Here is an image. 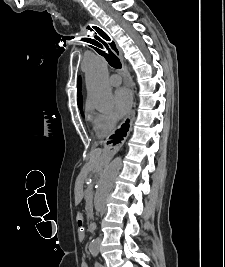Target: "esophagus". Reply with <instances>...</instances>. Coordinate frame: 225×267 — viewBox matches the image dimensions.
<instances>
[{
  "label": "esophagus",
  "mask_w": 225,
  "mask_h": 267,
  "mask_svg": "<svg viewBox=\"0 0 225 267\" xmlns=\"http://www.w3.org/2000/svg\"><path fill=\"white\" fill-rule=\"evenodd\" d=\"M98 28L102 29L109 36V38H110L109 45H110L111 49L118 55V57H119V59L121 61V64H122V69H123L124 79H125V85L130 88L131 97H132V104H131V109H130V111L128 113V116H127V119H126L127 122L129 123V126H127V128H126V136H128V134H129V132L131 130L133 121H134V109H133V107L135 106V102H134V89H133V86L131 84V80H130V76H129V72H128L127 66H126V64L124 62V59H123V57H122L119 49H118L117 44L114 42V40L111 38V36L108 34V32L105 29H103L101 27H98ZM125 139H126V137H124V140ZM122 143H123V141L121 143H119V144H116L115 146L107 145L106 144L104 146V151L108 155L112 156V155H114L119 150V148L121 147Z\"/></svg>",
  "instance_id": "obj_1"
}]
</instances>
